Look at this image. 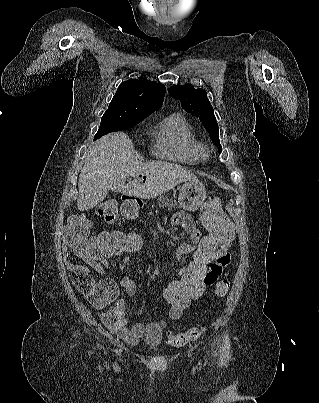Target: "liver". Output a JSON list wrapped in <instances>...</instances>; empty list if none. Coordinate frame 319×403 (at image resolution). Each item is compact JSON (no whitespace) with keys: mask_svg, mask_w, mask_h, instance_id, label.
<instances>
[{"mask_svg":"<svg viewBox=\"0 0 319 403\" xmlns=\"http://www.w3.org/2000/svg\"><path fill=\"white\" fill-rule=\"evenodd\" d=\"M127 176L134 180L125 184ZM188 180L197 178L179 165L139 161L131 139L123 132H113L95 141L88 150L78 180L77 207L84 212L97 206L109 190L131 197L155 198Z\"/></svg>","mask_w":319,"mask_h":403,"instance_id":"liver-1","label":"liver"}]
</instances>
